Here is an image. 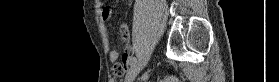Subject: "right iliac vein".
Returning a JSON list of instances; mask_svg holds the SVG:
<instances>
[{"mask_svg": "<svg viewBox=\"0 0 279 82\" xmlns=\"http://www.w3.org/2000/svg\"><path fill=\"white\" fill-rule=\"evenodd\" d=\"M149 60V56H147L144 60L136 63L133 65L127 75H126V82H132L134 78L138 75V73L144 68V66L147 64Z\"/></svg>", "mask_w": 279, "mask_h": 82, "instance_id": "obj_1", "label": "right iliac vein"}]
</instances>
